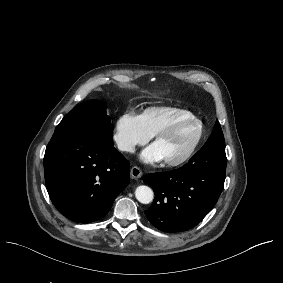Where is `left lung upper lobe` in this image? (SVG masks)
Listing matches in <instances>:
<instances>
[{
	"label": "left lung upper lobe",
	"instance_id": "5c2ea615",
	"mask_svg": "<svg viewBox=\"0 0 283 283\" xmlns=\"http://www.w3.org/2000/svg\"><path fill=\"white\" fill-rule=\"evenodd\" d=\"M214 143H217L223 147L225 146L223 132H222L220 123L218 121H216L213 132L205 144L209 145V144H214Z\"/></svg>",
	"mask_w": 283,
	"mask_h": 283
}]
</instances>
